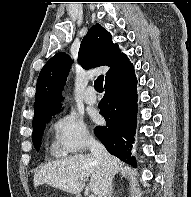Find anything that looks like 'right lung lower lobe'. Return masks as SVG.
<instances>
[{
	"mask_svg": "<svg viewBox=\"0 0 191 197\" xmlns=\"http://www.w3.org/2000/svg\"><path fill=\"white\" fill-rule=\"evenodd\" d=\"M137 79L133 67L105 82V94L99 103L106 126H97L95 134L105 148L122 161L136 165L127 153L134 142L137 113Z\"/></svg>",
	"mask_w": 191,
	"mask_h": 197,
	"instance_id": "1",
	"label": "right lung lower lobe"
}]
</instances>
